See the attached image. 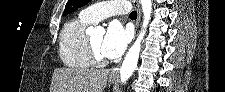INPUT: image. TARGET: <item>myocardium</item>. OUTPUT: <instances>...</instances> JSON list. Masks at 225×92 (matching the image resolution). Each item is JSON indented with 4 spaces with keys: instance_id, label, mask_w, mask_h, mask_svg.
<instances>
[{
    "instance_id": "myocardium-1",
    "label": "myocardium",
    "mask_w": 225,
    "mask_h": 92,
    "mask_svg": "<svg viewBox=\"0 0 225 92\" xmlns=\"http://www.w3.org/2000/svg\"><path fill=\"white\" fill-rule=\"evenodd\" d=\"M87 48H88V52H89V56H90L92 64L96 66L106 65V60L98 54L96 49L93 47L90 38H88L87 40Z\"/></svg>"
}]
</instances>
